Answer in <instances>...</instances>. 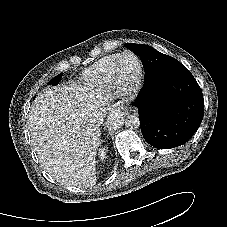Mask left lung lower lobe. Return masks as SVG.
<instances>
[{"instance_id": "0a47b994", "label": "left lung lower lobe", "mask_w": 227, "mask_h": 227, "mask_svg": "<svg viewBox=\"0 0 227 227\" xmlns=\"http://www.w3.org/2000/svg\"><path fill=\"white\" fill-rule=\"evenodd\" d=\"M140 58L143 65H150L157 60V51L145 46ZM132 105L138 109L144 139L159 149L186 143L199 128L204 114L200 86L183 65L144 79Z\"/></svg>"}]
</instances>
